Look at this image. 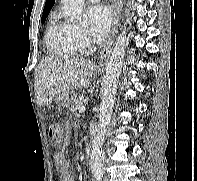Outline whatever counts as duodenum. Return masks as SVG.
Listing matches in <instances>:
<instances>
[{"label": "duodenum", "mask_w": 197, "mask_h": 181, "mask_svg": "<svg viewBox=\"0 0 197 181\" xmlns=\"http://www.w3.org/2000/svg\"><path fill=\"white\" fill-rule=\"evenodd\" d=\"M86 157L90 158L91 157V146L89 144L86 145Z\"/></svg>", "instance_id": "obj_1"}]
</instances>
